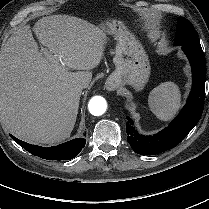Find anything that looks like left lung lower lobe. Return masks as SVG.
<instances>
[{
    "mask_svg": "<svg viewBox=\"0 0 209 209\" xmlns=\"http://www.w3.org/2000/svg\"><path fill=\"white\" fill-rule=\"evenodd\" d=\"M192 68V89L186 105L168 127L153 136L140 135L127 117V140L140 155H155L177 146L198 123L204 108L206 61L199 43L182 44Z\"/></svg>",
    "mask_w": 209,
    "mask_h": 209,
    "instance_id": "1",
    "label": "left lung lower lobe"
}]
</instances>
